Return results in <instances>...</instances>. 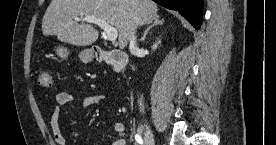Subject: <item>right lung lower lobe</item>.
<instances>
[{"label": "right lung lower lobe", "mask_w": 276, "mask_h": 145, "mask_svg": "<svg viewBox=\"0 0 276 145\" xmlns=\"http://www.w3.org/2000/svg\"><path fill=\"white\" fill-rule=\"evenodd\" d=\"M156 3L177 10L196 29L202 22L203 0H153Z\"/></svg>", "instance_id": "98d812e1"}]
</instances>
